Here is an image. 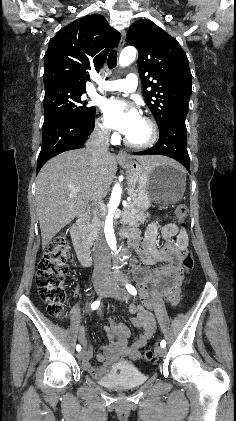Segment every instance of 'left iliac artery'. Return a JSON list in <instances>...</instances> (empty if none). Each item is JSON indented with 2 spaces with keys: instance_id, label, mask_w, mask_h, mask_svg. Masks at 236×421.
I'll return each mask as SVG.
<instances>
[{
  "instance_id": "1",
  "label": "left iliac artery",
  "mask_w": 236,
  "mask_h": 421,
  "mask_svg": "<svg viewBox=\"0 0 236 421\" xmlns=\"http://www.w3.org/2000/svg\"><path fill=\"white\" fill-rule=\"evenodd\" d=\"M126 289L131 295L135 296L137 294V291H136L135 287L132 286L131 284H127ZM160 346L162 348H164L166 346V342L164 340H162L161 343H160Z\"/></svg>"
}]
</instances>
